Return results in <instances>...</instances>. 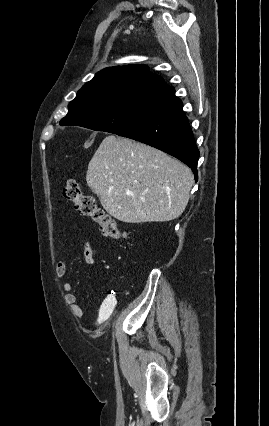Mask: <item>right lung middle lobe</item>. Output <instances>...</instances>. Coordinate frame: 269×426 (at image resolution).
Listing matches in <instances>:
<instances>
[{"label":"right lung middle lobe","mask_w":269,"mask_h":426,"mask_svg":"<svg viewBox=\"0 0 269 426\" xmlns=\"http://www.w3.org/2000/svg\"><path fill=\"white\" fill-rule=\"evenodd\" d=\"M161 92L139 90L77 93L61 126L76 125L117 133L141 120L160 99Z\"/></svg>","instance_id":"dd1d6c3e"}]
</instances>
